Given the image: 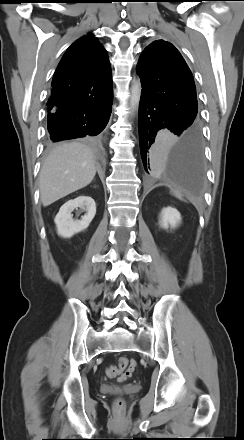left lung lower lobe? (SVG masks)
I'll return each mask as SVG.
<instances>
[{
  "instance_id": "left-lung-lower-lobe-1",
  "label": "left lung lower lobe",
  "mask_w": 244,
  "mask_h": 440,
  "mask_svg": "<svg viewBox=\"0 0 244 440\" xmlns=\"http://www.w3.org/2000/svg\"><path fill=\"white\" fill-rule=\"evenodd\" d=\"M138 129L145 171L153 175L173 174L183 189L197 193L204 175L201 132L182 124L168 108L142 93ZM160 130L179 138L175 143H167Z\"/></svg>"
}]
</instances>
